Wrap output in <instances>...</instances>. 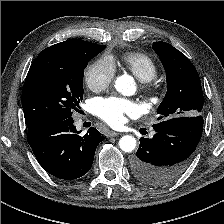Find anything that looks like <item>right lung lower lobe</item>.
Here are the masks:
<instances>
[{"label": "right lung lower lobe", "instance_id": "right-lung-lower-lobe-1", "mask_svg": "<svg viewBox=\"0 0 224 224\" xmlns=\"http://www.w3.org/2000/svg\"><path fill=\"white\" fill-rule=\"evenodd\" d=\"M73 119H46L28 126L27 140L40 165L51 175L73 180L86 174L105 136L91 127L80 135Z\"/></svg>", "mask_w": 224, "mask_h": 224}]
</instances>
